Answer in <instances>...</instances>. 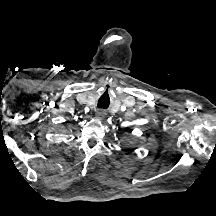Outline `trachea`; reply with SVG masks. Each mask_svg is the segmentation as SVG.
Returning a JSON list of instances; mask_svg holds the SVG:
<instances>
[{
  "label": "trachea",
  "mask_w": 216,
  "mask_h": 216,
  "mask_svg": "<svg viewBox=\"0 0 216 216\" xmlns=\"http://www.w3.org/2000/svg\"><path fill=\"white\" fill-rule=\"evenodd\" d=\"M108 106H109V102H104V101H102V100H99V101H98V107H99V108L107 109Z\"/></svg>",
  "instance_id": "obj_1"
}]
</instances>
